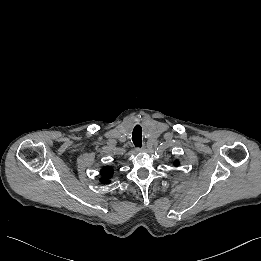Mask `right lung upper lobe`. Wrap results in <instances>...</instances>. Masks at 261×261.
<instances>
[{
	"label": "right lung upper lobe",
	"instance_id": "right-lung-upper-lobe-1",
	"mask_svg": "<svg viewBox=\"0 0 261 261\" xmlns=\"http://www.w3.org/2000/svg\"><path fill=\"white\" fill-rule=\"evenodd\" d=\"M113 169L109 166L104 167L101 171V182L108 183L109 179L112 177Z\"/></svg>",
	"mask_w": 261,
	"mask_h": 261
}]
</instances>
